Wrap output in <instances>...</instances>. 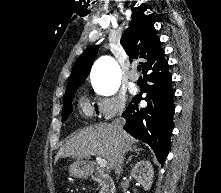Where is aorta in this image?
<instances>
[{
    "label": "aorta",
    "instance_id": "1",
    "mask_svg": "<svg viewBox=\"0 0 221 193\" xmlns=\"http://www.w3.org/2000/svg\"><path fill=\"white\" fill-rule=\"evenodd\" d=\"M96 90L106 96L113 95L120 85V68L109 56L100 58L93 67Z\"/></svg>",
    "mask_w": 221,
    "mask_h": 193
}]
</instances>
